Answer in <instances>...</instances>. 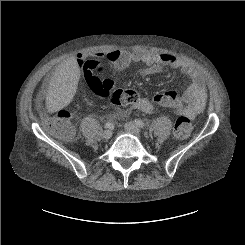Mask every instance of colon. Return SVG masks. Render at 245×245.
Returning <instances> with one entry per match:
<instances>
[{
    "instance_id": "1",
    "label": "colon",
    "mask_w": 245,
    "mask_h": 245,
    "mask_svg": "<svg viewBox=\"0 0 245 245\" xmlns=\"http://www.w3.org/2000/svg\"><path fill=\"white\" fill-rule=\"evenodd\" d=\"M77 63L83 74L91 76L100 73L101 65L96 60L78 59ZM91 89L100 95H104L116 106L131 103L135 100V91L130 88L110 89L103 81L97 78L90 79ZM154 101L158 105L173 108L177 111L183 110V104L175 91H164L154 95ZM70 111L66 107L60 108L55 114L45 121V128L54 136L70 139L74 135V129L69 123ZM192 129L191 120L185 115H179L176 119L173 135L178 140L186 139Z\"/></svg>"
}]
</instances>
